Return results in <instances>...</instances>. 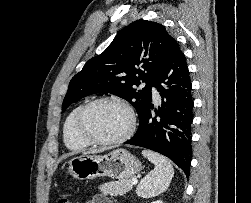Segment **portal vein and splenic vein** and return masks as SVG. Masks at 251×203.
Instances as JSON below:
<instances>
[{"instance_id": "18ae733b", "label": "portal vein and splenic vein", "mask_w": 251, "mask_h": 203, "mask_svg": "<svg viewBox=\"0 0 251 203\" xmlns=\"http://www.w3.org/2000/svg\"><path fill=\"white\" fill-rule=\"evenodd\" d=\"M138 180L136 178L132 179V185H136Z\"/></svg>"}]
</instances>
